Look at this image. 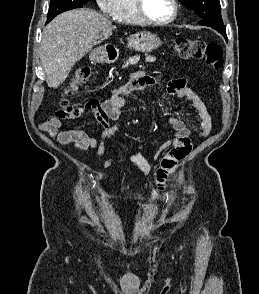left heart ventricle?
Instances as JSON below:
<instances>
[{"instance_id": "obj_1", "label": "left heart ventricle", "mask_w": 259, "mask_h": 294, "mask_svg": "<svg viewBox=\"0 0 259 294\" xmlns=\"http://www.w3.org/2000/svg\"><path fill=\"white\" fill-rule=\"evenodd\" d=\"M147 15L157 21H164L171 17L173 6L171 0H145Z\"/></svg>"}]
</instances>
